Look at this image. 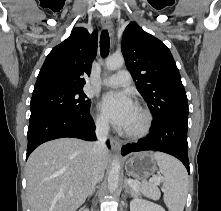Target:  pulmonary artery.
<instances>
[{
    "instance_id": "obj_1",
    "label": "pulmonary artery",
    "mask_w": 221,
    "mask_h": 211,
    "mask_svg": "<svg viewBox=\"0 0 221 211\" xmlns=\"http://www.w3.org/2000/svg\"><path fill=\"white\" fill-rule=\"evenodd\" d=\"M102 84L109 87L128 86L131 84V74L127 70L118 71L116 74L105 78Z\"/></svg>"
}]
</instances>
